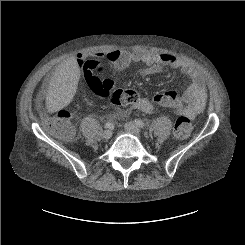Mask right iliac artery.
<instances>
[{
  "mask_svg": "<svg viewBox=\"0 0 245 245\" xmlns=\"http://www.w3.org/2000/svg\"><path fill=\"white\" fill-rule=\"evenodd\" d=\"M105 127L109 128V129H112L114 126H113L112 123L108 122V123L105 124Z\"/></svg>",
  "mask_w": 245,
  "mask_h": 245,
  "instance_id": "obj_1",
  "label": "right iliac artery"
}]
</instances>
